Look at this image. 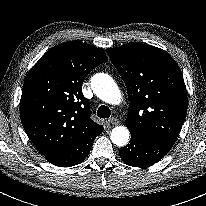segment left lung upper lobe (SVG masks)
I'll use <instances>...</instances> for the list:
<instances>
[{"mask_svg":"<svg viewBox=\"0 0 206 206\" xmlns=\"http://www.w3.org/2000/svg\"><path fill=\"white\" fill-rule=\"evenodd\" d=\"M107 53L127 88L130 104L125 123L131 135L173 145L188 107L177 63L164 50L136 42Z\"/></svg>","mask_w":206,"mask_h":206,"instance_id":"1","label":"left lung upper lobe"}]
</instances>
